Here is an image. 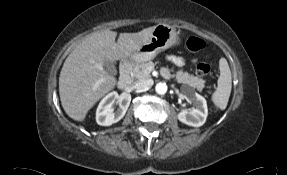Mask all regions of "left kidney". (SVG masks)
<instances>
[{
  "label": "left kidney",
  "instance_id": "1",
  "mask_svg": "<svg viewBox=\"0 0 287 175\" xmlns=\"http://www.w3.org/2000/svg\"><path fill=\"white\" fill-rule=\"evenodd\" d=\"M186 100L189 103H193L195 107H193L190 111L184 110L179 112L177 115L179 121L193 127L202 126L205 123L208 115L205 98L198 93L189 92L186 94Z\"/></svg>",
  "mask_w": 287,
  "mask_h": 175
}]
</instances>
